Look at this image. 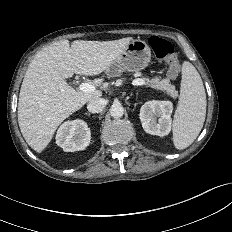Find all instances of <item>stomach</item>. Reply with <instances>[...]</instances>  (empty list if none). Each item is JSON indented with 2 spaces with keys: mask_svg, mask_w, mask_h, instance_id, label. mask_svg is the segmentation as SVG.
<instances>
[{
  "mask_svg": "<svg viewBox=\"0 0 232 232\" xmlns=\"http://www.w3.org/2000/svg\"><path fill=\"white\" fill-rule=\"evenodd\" d=\"M151 51L145 41L132 40L124 51L106 69L110 77H117L124 71L138 72L150 62Z\"/></svg>",
  "mask_w": 232,
  "mask_h": 232,
  "instance_id": "obj_1",
  "label": "stomach"
}]
</instances>
